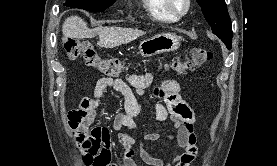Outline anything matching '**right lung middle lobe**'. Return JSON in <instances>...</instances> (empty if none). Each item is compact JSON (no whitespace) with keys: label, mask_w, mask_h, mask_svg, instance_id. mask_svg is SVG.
Wrapping results in <instances>:
<instances>
[{"label":"right lung middle lobe","mask_w":277,"mask_h":166,"mask_svg":"<svg viewBox=\"0 0 277 166\" xmlns=\"http://www.w3.org/2000/svg\"><path fill=\"white\" fill-rule=\"evenodd\" d=\"M116 0H67V7L79 8L87 11L101 12L111 6Z\"/></svg>","instance_id":"dd1d6c3e"}]
</instances>
